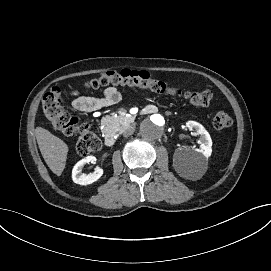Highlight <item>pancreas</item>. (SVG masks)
Returning <instances> with one entry per match:
<instances>
[{
    "label": "pancreas",
    "instance_id": "1",
    "mask_svg": "<svg viewBox=\"0 0 271 271\" xmlns=\"http://www.w3.org/2000/svg\"><path fill=\"white\" fill-rule=\"evenodd\" d=\"M102 124V130L105 132L108 131H119L122 127H124L127 124V121L124 118L116 119L114 116H105L101 120Z\"/></svg>",
    "mask_w": 271,
    "mask_h": 271
}]
</instances>
